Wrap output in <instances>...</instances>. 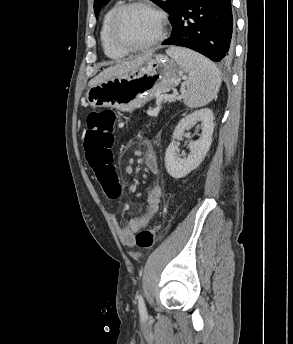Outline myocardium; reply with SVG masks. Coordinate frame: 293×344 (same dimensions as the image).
<instances>
[{
	"label": "myocardium",
	"instance_id": "f54148a6",
	"mask_svg": "<svg viewBox=\"0 0 293 344\" xmlns=\"http://www.w3.org/2000/svg\"><path fill=\"white\" fill-rule=\"evenodd\" d=\"M132 8H144L156 15L159 21V32L156 37L150 41L139 44L132 45L128 44L119 35V22L123 14ZM168 32V20L165 13L154 6L153 4L147 2L146 0H129L128 2L120 5L114 12L111 22H110V38L112 43L120 50L125 52H140L148 50L159 43H161L167 35Z\"/></svg>",
	"mask_w": 293,
	"mask_h": 344
}]
</instances>
